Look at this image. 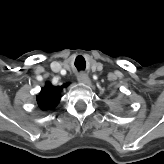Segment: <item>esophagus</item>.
<instances>
[{"label": "esophagus", "instance_id": "1", "mask_svg": "<svg viewBox=\"0 0 164 164\" xmlns=\"http://www.w3.org/2000/svg\"><path fill=\"white\" fill-rule=\"evenodd\" d=\"M78 81L82 84H86V85H89L91 83V80L90 78L88 77L87 74L85 73H80L79 76H78Z\"/></svg>", "mask_w": 164, "mask_h": 164}]
</instances>
